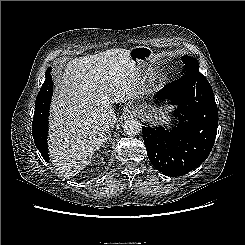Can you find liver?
Returning <instances> with one entry per match:
<instances>
[{"label":"liver","instance_id":"1","mask_svg":"<svg viewBox=\"0 0 245 245\" xmlns=\"http://www.w3.org/2000/svg\"><path fill=\"white\" fill-rule=\"evenodd\" d=\"M139 66L129 50L113 48L71 60L56 81L50 118V156L68 178L91 162L106 142L107 129L98 109L143 93Z\"/></svg>","mask_w":245,"mask_h":245}]
</instances>
